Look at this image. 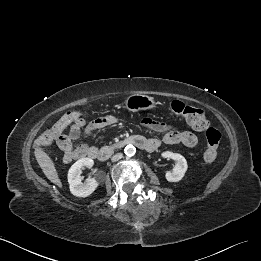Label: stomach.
Returning <instances> with one entry per match:
<instances>
[{
    "label": "stomach",
    "mask_w": 261,
    "mask_h": 261,
    "mask_svg": "<svg viewBox=\"0 0 261 261\" xmlns=\"http://www.w3.org/2000/svg\"><path fill=\"white\" fill-rule=\"evenodd\" d=\"M155 104L153 97L143 94H133L125 100V108L131 112L153 109Z\"/></svg>",
    "instance_id": "stomach-1"
}]
</instances>
